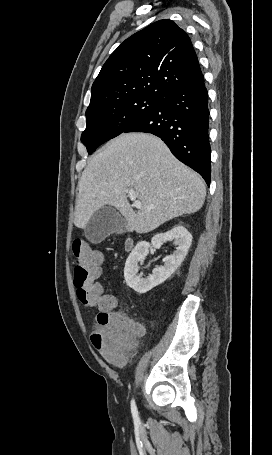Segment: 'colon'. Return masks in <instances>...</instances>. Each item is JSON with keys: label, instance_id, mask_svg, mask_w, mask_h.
Masks as SVG:
<instances>
[{"label": "colon", "instance_id": "obj_1", "mask_svg": "<svg viewBox=\"0 0 272 455\" xmlns=\"http://www.w3.org/2000/svg\"><path fill=\"white\" fill-rule=\"evenodd\" d=\"M74 256V286L78 300L98 309L95 326L91 331V342L104 359L120 365L126 360L127 350L135 338L143 332L142 327L119 312H115V299L104 293L96 282L100 274L102 253L82 239L72 244Z\"/></svg>", "mask_w": 272, "mask_h": 455}]
</instances>
